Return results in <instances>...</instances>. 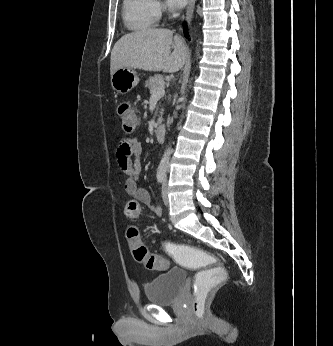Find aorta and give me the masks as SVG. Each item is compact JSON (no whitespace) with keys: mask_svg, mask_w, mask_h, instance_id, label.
<instances>
[{"mask_svg":"<svg viewBox=\"0 0 333 346\" xmlns=\"http://www.w3.org/2000/svg\"><path fill=\"white\" fill-rule=\"evenodd\" d=\"M182 100L184 101V100H185V97H183ZM183 106H184V105H182L181 107H183ZM171 152H172L171 147H168V148L166 149V151L164 152V155H163V157H162V159H161V162H160L159 167H161V168H166V167L168 166V164H169V158H170Z\"/></svg>","mask_w":333,"mask_h":346,"instance_id":"obj_1","label":"aorta"}]
</instances>
